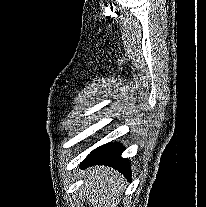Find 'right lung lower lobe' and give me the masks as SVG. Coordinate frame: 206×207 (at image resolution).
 Returning a JSON list of instances; mask_svg holds the SVG:
<instances>
[{"instance_id": "98d812e1", "label": "right lung lower lobe", "mask_w": 206, "mask_h": 207, "mask_svg": "<svg viewBox=\"0 0 206 207\" xmlns=\"http://www.w3.org/2000/svg\"><path fill=\"white\" fill-rule=\"evenodd\" d=\"M124 150L118 143H107L94 149L81 163L80 167H88L92 165H108L119 170L124 176L130 179L131 168L128 159L122 158L121 154Z\"/></svg>"}]
</instances>
